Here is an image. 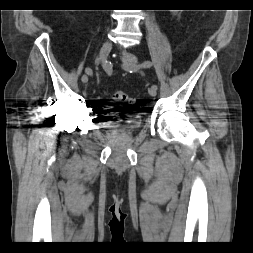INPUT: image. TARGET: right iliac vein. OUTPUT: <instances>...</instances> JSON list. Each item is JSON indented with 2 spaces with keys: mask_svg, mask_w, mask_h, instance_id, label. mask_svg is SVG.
I'll return each instance as SVG.
<instances>
[{
  "mask_svg": "<svg viewBox=\"0 0 253 253\" xmlns=\"http://www.w3.org/2000/svg\"><path fill=\"white\" fill-rule=\"evenodd\" d=\"M112 44L109 41H105L100 49V61L105 62L108 58L109 53L111 52ZM83 83H86L88 81V76L84 74L81 78Z\"/></svg>",
  "mask_w": 253,
  "mask_h": 253,
  "instance_id": "1",
  "label": "right iliac vein"
}]
</instances>
